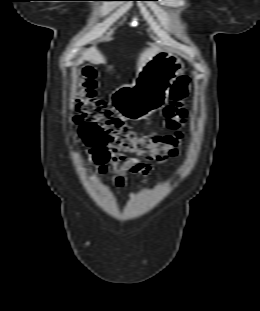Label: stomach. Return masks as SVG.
Here are the masks:
<instances>
[{
	"mask_svg": "<svg viewBox=\"0 0 260 311\" xmlns=\"http://www.w3.org/2000/svg\"><path fill=\"white\" fill-rule=\"evenodd\" d=\"M183 71L184 64L177 55L160 51L139 71L131 85H122L112 92L111 104L123 118L145 119L168 100L170 86Z\"/></svg>",
	"mask_w": 260,
	"mask_h": 311,
	"instance_id": "1",
	"label": "stomach"
}]
</instances>
